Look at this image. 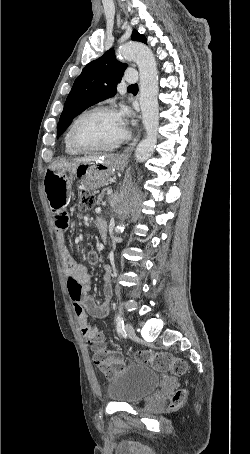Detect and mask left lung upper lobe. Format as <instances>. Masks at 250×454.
I'll use <instances>...</instances> for the list:
<instances>
[{
    "label": "left lung upper lobe",
    "instance_id": "1",
    "mask_svg": "<svg viewBox=\"0 0 250 454\" xmlns=\"http://www.w3.org/2000/svg\"><path fill=\"white\" fill-rule=\"evenodd\" d=\"M131 38L146 43L145 36L136 30L133 31ZM126 67L125 63L116 60L113 49L88 63L76 78L66 99L57 126V136H60L71 121L87 107L114 96L116 85L120 83Z\"/></svg>",
    "mask_w": 250,
    "mask_h": 454
}]
</instances>
